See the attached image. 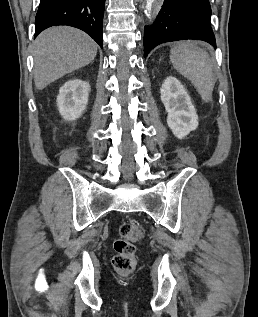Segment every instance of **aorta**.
<instances>
[{"mask_svg": "<svg viewBox=\"0 0 258 317\" xmlns=\"http://www.w3.org/2000/svg\"><path fill=\"white\" fill-rule=\"evenodd\" d=\"M154 1H155V0H146V2H147V6H146V7H147L148 9L151 8Z\"/></svg>", "mask_w": 258, "mask_h": 317, "instance_id": "762f6f07", "label": "aorta"}]
</instances>
